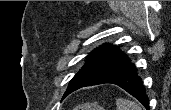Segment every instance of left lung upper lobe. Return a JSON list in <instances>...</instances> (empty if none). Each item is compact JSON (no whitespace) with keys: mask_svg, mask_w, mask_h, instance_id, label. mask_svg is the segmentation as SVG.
<instances>
[{"mask_svg":"<svg viewBox=\"0 0 171 110\" xmlns=\"http://www.w3.org/2000/svg\"><path fill=\"white\" fill-rule=\"evenodd\" d=\"M126 60H128V57L117 47L104 44L97 48L87 57L84 66L71 79L63 98L76 86L94 80L99 75L122 64Z\"/></svg>","mask_w":171,"mask_h":110,"instance_id":"obj_1","label":"left lung upper lobe"}]
</instances>
